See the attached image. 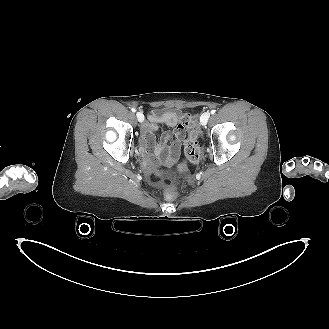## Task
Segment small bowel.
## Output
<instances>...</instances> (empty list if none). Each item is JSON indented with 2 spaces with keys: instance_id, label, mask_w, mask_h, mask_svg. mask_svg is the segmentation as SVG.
Masks as SVG:
<instances>
[{
  "instance_id": "small-bowel-1",
  "label": "small bowel",
  "mask_w": 329,
  "mask_h": 329,
  "mask_svg": "<svg viewBox=\"0 0 329 329\" xmlns=\"http://www.w3.org/2000/svg\"><path fill=\"white\" fill-rule=\"evenodd\" d=\"M183 116L179 109H155L149 114L148 121L142 128V146L149 157H160L169 163L179 158L184 139V130L181 127ZM160 123L168 130L157 140L156 133L160 130Z\"/></svg>"
}]
</instances>
